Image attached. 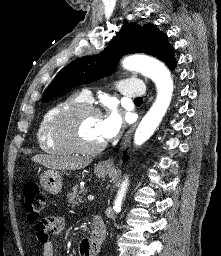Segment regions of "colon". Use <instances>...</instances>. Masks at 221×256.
Instances as JSON below:
<instances>
[{"label":"colon","instance_id":"colon-1","mask_svg":"<svg viewBox=\"0 0 221 256\" xmlns=\"http://www.w3.org/2000/svg\"><path fill=\"white\" fill-rule=\"evenodd\" d=\"M25 211L30 222H38L46 206V198L35 181L26 182L23 190Z\"/></svg>","mask_w":221,"mask_h":256}]
</instances>
